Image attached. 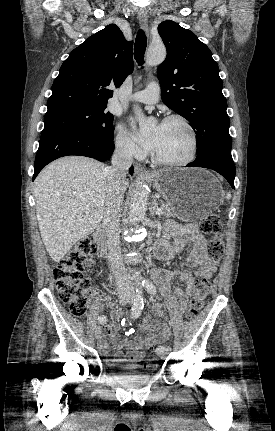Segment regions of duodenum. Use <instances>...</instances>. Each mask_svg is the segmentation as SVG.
<instances>
[{
  "label": "duodenum",
  "mask_w": 275,
  "mask_h": 431,
  "mask_svg": "<svg viewBox=\"0 0 275 431\" xmlns=\"http://www.w3.org/2000/svg\"><path fill=\"white\" fill-rule=\"evenodd\" d=\"M94 241L98 247L99 254L102 258L107 257V241L105 232L101 227H98L93 233Z\"/></svg>",
  "instance_id": "1"
}]
</instances>
